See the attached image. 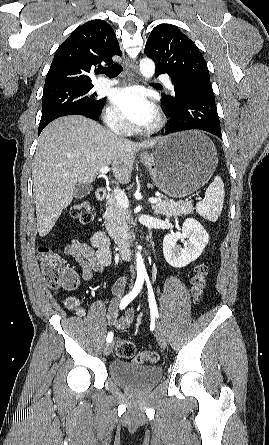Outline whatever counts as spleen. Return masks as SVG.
Listing matches in <instances>:
<instances>
[{
  "mask_svg": "<svg viewBox=\"0 0 269 445\" xmlns=\"http://www.w3.org/2000/svg\"><path fill=\"white\" fill-rule=\"evenodd\" d=\"M224 196V183L220 176H216L208 186L205 198L196 204L197 212L209 221H217L223 208Z\"/></svg>",
  "mask_w": 269,
  "mask_h": 445,
  "instance_id": "spleen-1",
  "label": "spleen"
}]
</instances>
